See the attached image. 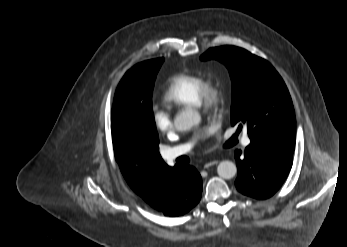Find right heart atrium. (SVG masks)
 Masks as SVG:
<instances>
[{"mask_svg": "<svg viewBox=\"0 0 347 247\" xmlns=\"http://www.w3.org/2000/svg\"><path fill=\"white\" fill-rule=\"evenodd\" d=\"M152 119L155 127L162 133L170 132L173 129V121L170 115L161 109L154 110Z\"/></svg>", "mask_w": 347, "mask_h": 247, "instance_id": "1", "label": "right heart atrium"}]
</instances>
